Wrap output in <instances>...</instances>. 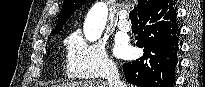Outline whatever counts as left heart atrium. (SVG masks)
I'll return each instance as SVG.
<instances>
[{
  "label": "left heart atrium",
  "mask_w": 205,
  "mask_h": 87,
  "mask_svg": "<svg viewBox=\"0 0 205 87\" xmlns=\"http://www.w3.org/2000/svg\"><path fill=\"white\" fill-rule=\"evenodd\" d=\"M130 53L129 47L124 42L116 44V54L120 57H126Z\"/></svg>",
  "instance_id": "1"
}]
</instances>
